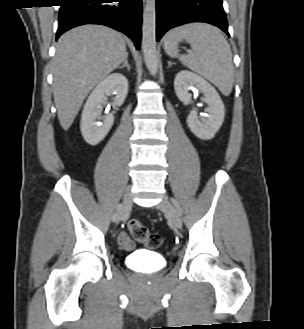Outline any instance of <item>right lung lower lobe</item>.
<instances>
[{"label":"right lung lower lobe","mask_w":304,"mask_h":329,"mask_svg":"<svg viewBox=\"0 0 304 329\" xmlns=\"http://www.w3.org/2000/svg\"><path fill=\"white\" fill-rule=\"evenodd\" d=\"M118 1V2H113ZM142 0H62L57 37L84 24L111 27L130 37L140 47Z\"/></svg>","instance_id":"obj_1"}]
</instances>
